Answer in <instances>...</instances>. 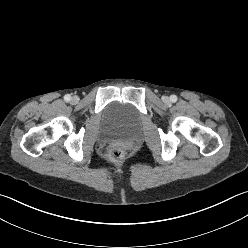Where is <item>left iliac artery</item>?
Segmentation results:
<instances>
[{
    "label": "left iliac artery",
    "instance_id": "1",
    "mask_svg": "<svg viewBox=\"0 0 248 248\" xmlns=\"http://www.w3.org/2000/svg\"><path fill=\"white\" fill-rule=\"evenodd\" d=\"M170 100H171L172 102H176V101H177V96H176V95H171V96H170Z\"/></svg>",
    "mask_w": 248,
    "mask_h": 248
}]
</instances>
